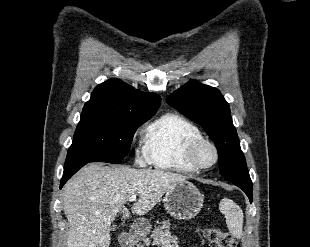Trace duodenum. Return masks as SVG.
Returning <instances> with one entry per match:
<instances>
[{"instance_id":"obj_1","label":"duodenum","mask_w":310,"mask_h":247,"mask_svg":"<svg viewBox=\"0 0 310 247\" xmlns=\"http://www.w3.org/2000/svg\"><path fill=\"white\" fill-rule=\"evenodd\" d=\"M121 243H122L123 247H130L132 244V240L130 238V235L127 233L122 234Z\"/></svg>"}]
</instances>
